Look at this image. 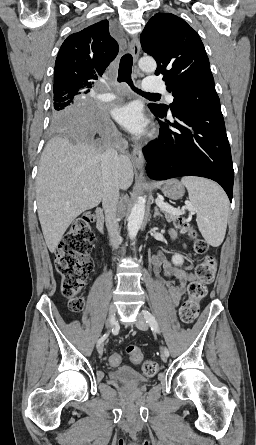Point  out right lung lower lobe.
Here are the masks:
<instances>
[{"instance_id":"right-lung-lower-lobe-1","label":"right lung lower lobe","mask_w":256,"mask_h":445,"mask_svg":"<svg viewBox=\"0 0 256 445\" xmlns=\"http://www.w3.org/2000/svg\"><path fill=\"white\" fill-rule=\"evenodd\" d=\"M74 124H80L84 128L81 135L94 139L104 147H114L124 151L125 142L119 137L116 128L110 120L105 108L93 101H87L77 112Z\"/></svg>"}]
</instances>
